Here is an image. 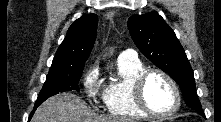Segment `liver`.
<instances>
[{
    "instance_id": "obj_1",
    "label": "liver",
    "mask_w": 221,
    "mask_h": 122,
    "mask_svg": "<svg viewBox=\"0 0 221 122\" xmlns=\"http://www.w3.org/2000/svg\"><path fill=\"white\" fill-rule=\"evenodd\" d=\"M32 122H133L119 117H104L89 109L84 100L71 93L57 94L43 102Z\"/></svg>"
}]
</instances>
